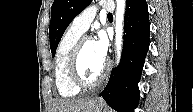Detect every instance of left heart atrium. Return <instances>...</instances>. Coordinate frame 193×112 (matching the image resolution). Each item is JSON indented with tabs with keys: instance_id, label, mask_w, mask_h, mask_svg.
Returning <instances> with one entry per match:
<instances>
[{
	"instance_id": "obj_1",
	"label": "left heart atrium",
	"mask_w": 193,
	"mask_h": 112,
	"mask_svg": "<svg viewBox=\"0 0 193 112\" xmlns=\"http://www.w3.org/2000/svg\"><path fill=\"white\" fill-rule=\"evenodd\" d=\"M94 46L100 58L105 60L107 55V49H108V44L106 39L103 36H99L94 41Z\"/></svg>"
}]
</instances>
